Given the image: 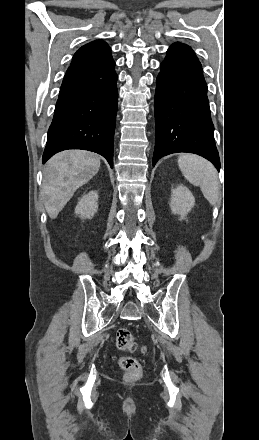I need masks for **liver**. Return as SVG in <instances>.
Masks as SVG:
<instances>
[{"label":"liver","mask_w":259,"mask_h":440,"mask_svg":"<svg viewBox=\"0 0 259 440\" xmlns=\"http://www.w3.org/2000/svg\"><path fill=\"white\" fill-rule=\"evenodd\" d=\"M100 168V156L84 150L62 151L54 155L43 172L42 195L45 209L55 219L75 191Z\"/></svg>","instance_id":"1"}]
</instances>
